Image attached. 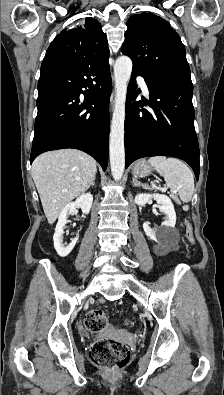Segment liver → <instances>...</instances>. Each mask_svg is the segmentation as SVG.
<instances>
[{
  "label": "liver",
  "mask_w": 224,
  "mask_h": 395,
  "mask_svg": "<svg viewBox=\"0 0 224 395\" xmlns=\"http://www.w3.org/2000/svg\"><path fill=\"white\" fill-rule=\"evenodd\" d=\"M31 172L45 216L53 224L63 208L87 190L97 162L82 151L61 149L39 155Z\"/></svg>",
  "instance_id": "1"
}]
</instances>
